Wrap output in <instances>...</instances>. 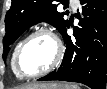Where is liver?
<instances>
[{
    "label": "liver",
    "mask_w": 107,
    "mask_h": 89,
    "mask_svg": "<svg viewBox=\"0 0 107 89\" xmlns=\"http://www.w3.org/2000/svg\"><path fill=\"white\" fill-rule=\"evenodd\" d=\"M47 84L42 83V84H31V85H27L24 86L22 89H31V88H36V87H41L44 88ZM53 85H61V84H53Z\"/></svg>",
    "instance_id": "liver-1"
}]
</instances>
